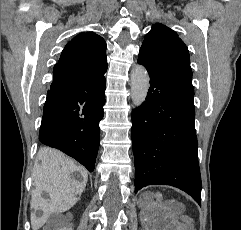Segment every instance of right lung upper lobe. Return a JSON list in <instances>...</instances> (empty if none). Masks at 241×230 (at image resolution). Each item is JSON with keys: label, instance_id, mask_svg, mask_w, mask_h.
Masks as SVG:
<instances>
[{"label": "right lung upper lobe", "instance_id": "cb5924a9", "mask_svg": "<svg viewBox=\"0 0 241 230\" xmlns=\"http://www.w3.org/2000/svg\"><path fill=\"white\" fill-rule=\"evenodd\" d=\"M57 65L69 71L103 75L108 66L106 43L93 32L80 33L67 43Z\"/></svg>", "mask_w": 241, "mask_h": 230}]
</instances>
